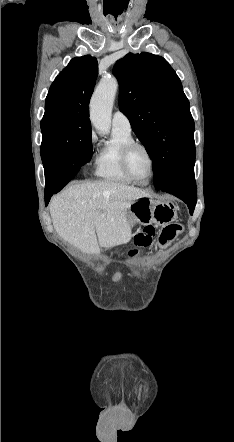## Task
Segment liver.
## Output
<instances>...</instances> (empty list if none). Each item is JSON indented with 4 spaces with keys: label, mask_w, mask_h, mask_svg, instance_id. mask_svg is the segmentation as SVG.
<instances>
[{
    "label": "liver",
    "mask_w": 234,
    "mask_h": 442,
    "mask_svg": "<svg viewBox=\"0 0 234 442\" xmlns=\"http://www.w3.org/2000/svg\"><path fill=\"white\" fill-rule=\"evenodd\" d=\"M149 194L121 183L98 181L67 187L50 202L56 232L82 252L126 244L132 237L127 223L131 204Z\"/></svg>",
    "instance_id": "obj_1"
}]
</instances>
